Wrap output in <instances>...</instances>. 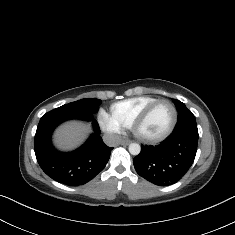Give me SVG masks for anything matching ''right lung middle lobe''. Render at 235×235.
<instances>
[{"mask_svg": "<svg viewBox=\"0 0 235 235\" xmlns=\"http://www.w3.org/2000/svg\"><path fill=\"white\" fill-rule=\"evenodd\" d=\"M100 104L101 100L99 99L86 98L65 104L56 108L55 111L67 116H90L98 111Z\"/></svg>", "mask_w": 235, "mask_h": 235, "instance_id": "obj_1", "label": "right lung middle lobe"}]
</instances>
